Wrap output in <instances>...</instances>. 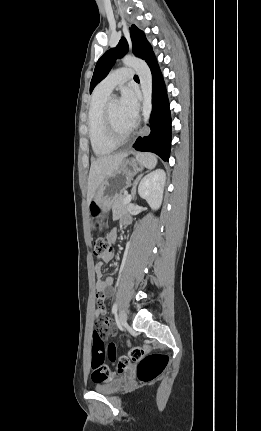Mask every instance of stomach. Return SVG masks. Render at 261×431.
Segmentation results:
<instances>
[{
  "instance_id": "1",
  "label": "stomach",
  "mask_w": 261,
  "mask_h": 431,
  "mask_svg": "<svg viewBox=\"0 0 261 431\" xmlns=\"http://www.w3.org/2000/svg\"><path fill=\"white\" fill-rule=\"evenodd\" d=\"M144 165L139 157L126 158L122 161L119 169L104 180L95 194V202L100 209L95 217L96 222H102L114 199L121 194L129 185L132 178L143 169Z\"/></svg>"
}]
</instances>
